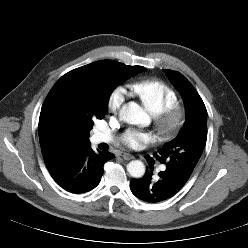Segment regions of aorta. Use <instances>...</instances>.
<instances>
[{
    "label": "aorta",
    "instance_id": "aorta-1",
    "mask_svg": "<svg viewBox=\"0 0 248 248\" xmlns=\"http://www.w3.org/2000/svg\"><path fill=\"white\" fill-rule=\"evenodd\" d=\"M119 115L128 124L145 126L150 122L148 114L135 102L123 105ZM127 171L132 177L141 178L145 174V165L139 160H133L127 164Z\"/></svg>",
    "mask_w": 248,
    "mask_h": 248
}]
</instances>
